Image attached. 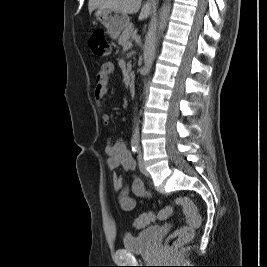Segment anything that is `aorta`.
I'll return each mask as SVG.
<instances>
[{
    "label": "aorta",
    "instance_id": "aorta-1",
    "mask_svg": "<svg viewBox=\"0 0 267 267\" xmlns=\"http://www.w3.org/2000/svg\"><path fill=\"white\" fill-rule=\"evenodd\" d=\"M170 11H171V0H166L159 14L157 31L154 34L150 35V37L148 38V48L145 52V67L143 69L145 74L148 73V68L156 55V49L159 40L167 26ZM138 136H139V131L138 127H136L134 130L133 138H138Z\"/></svg>",
    "mask_w": 267,
    "mask_h": 267
}]
</instances>
